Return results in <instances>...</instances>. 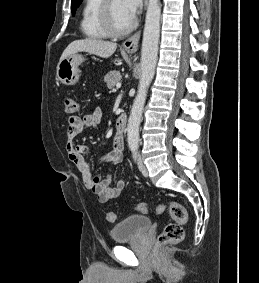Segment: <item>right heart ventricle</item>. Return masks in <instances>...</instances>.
<instances>
[{
    "label": "right heart ventricle",
    "mask_w": 259,
    "mask_h": 283,
    "mask_svg": "<svg viewBox=\"0 0 259 283\" xmlns=\"http://www.w3.org/2000/svg\"><path fill=\"white\" fill-rule=\"evenodd\" d=\"M103 0H85L82 16L81 31L87 38L104 39L109 35L104 30L100 19V7Z\"/></svg>",
    "instance_id": "obj_1"
}]
</instances>
